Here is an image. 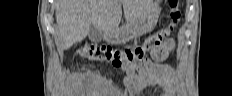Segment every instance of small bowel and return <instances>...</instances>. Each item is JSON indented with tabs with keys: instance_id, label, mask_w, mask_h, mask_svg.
Returning a JSON list of instances; mask_svg holds the SVG:
<instances>
[{
	"instance_id": "obj_1",
	"label": "small bowel",
	"mask_w": 232,
	"mask_h": 96,
	"mask_svg": "<svg viewBox=\"0 0 232 96\" xmlns=\"http://www.w3.org/2000/svg\"><path fill=\"white\" fill-rule=\"evenodd\" d=\"M175 43L172 40L164 44L166 50L173 49ZM152 52V49H150ZM156 73H141L139 76H129L125 84L129 87L130 96H139L146 89L158 87L163 94L174 96L178 92L176 72L168 66H157Z\"/></svg>"
}]
</instances>
